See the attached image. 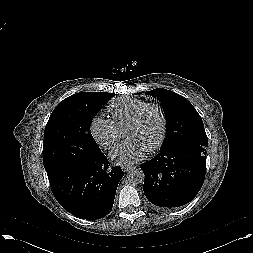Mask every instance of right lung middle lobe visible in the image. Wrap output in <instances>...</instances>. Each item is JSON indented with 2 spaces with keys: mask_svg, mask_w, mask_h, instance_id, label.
<instances>
[{
  "mask_svg": "<svg viewBox=\"0 0 253 253\" xmlns=\"http://www.w3.org/2000/svg\"><path fill=\"white\" fill-rule=\"evenodd\" d=\"M114 93L84 92L61 101L44 132L43 164L46 172L97 157L101 150L90 125L95 114Z\"/></svg>",
  "mask_w": 253,
  "mask_h": 253,
  "instance_id": "1",
  "label": "right lung middle lobe"
}]
</instances>
